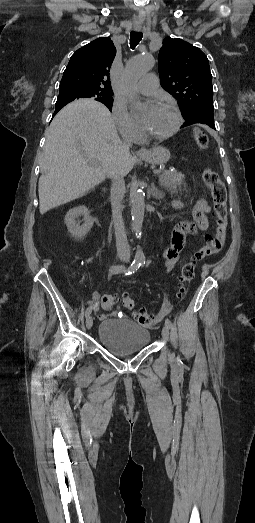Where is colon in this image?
I'll return each mask as SVG.
<instances>
[{
  "label": "colon",
  "instance_id": "obj_1",
  "mask_svg": "<svg viewBox=\"0 0 255 523\" xmlns=\"http://www.w3.org/2000/svg\"><path fill=\"white\" fill-rule=\"evenodd\" d=\"M195 139L200 148H206L208 145V138L206 134L197 129L195 130ZM203 181L207 190L209 191L214 208L215 229L211 234L206 235L204 244L190 255L188 260L182 266L179 284L178 295L182 296L185 293L186 285L191 282L195 275V267L198 262L202 261L210 255L219 253L224 247L228 226L227 216V193L226 188L219 177L218 173L211 168H205L202 174ZM122 304L126 309H133L135 300L133 295L125 293L120 302L114 295L107 294L101 298V306L105 310H111ZM137 323L142 326H150L152 324V317L144 311H137L133 314Z\"/></svg>",
  "mask_w": 255,
  "mask_h": 523
}]
</instances>
